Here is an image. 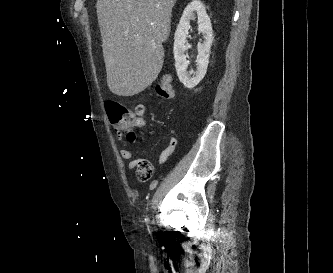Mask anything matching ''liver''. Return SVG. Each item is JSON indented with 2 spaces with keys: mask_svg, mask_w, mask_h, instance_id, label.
Wrapping results in <instances>:
<instances>
[{
  "mask_svg": "<svg viewBox=\"0 0 333 273\" xmlns=\"http://www.w3.org/2000/svg\"><path fill=\"white\" fill-rule=\"evenodd\" d=\"M176 1L97 0L107 85L112 93L133 96L156 80Z\"/></svg>",
  "mask_w": 333,
  "mask_h": 273,
  "instance_id": "liver-1",
  "label": "liver"
}]
</instances>
